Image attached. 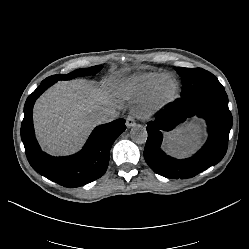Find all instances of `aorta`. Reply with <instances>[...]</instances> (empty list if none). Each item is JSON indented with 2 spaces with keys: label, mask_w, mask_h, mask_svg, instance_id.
Wrapping results in <instances>:
<instances>
[{
  "label": "aorta",
  "mask_w": 249,
  "mask_h": 249,
  "mask_svg": "<svg viewBox=\"0 0 249 249\" xmlns=\"http://www.w3.org/2000/svg\"><path fill=\"white\" fill-rule=\"evenodd\" d=\"M131 139L137 144H144L147 140V131L142 127H134L131 129Z\"/></svg>",
  "instance_id": "1"
}]
</instances>
